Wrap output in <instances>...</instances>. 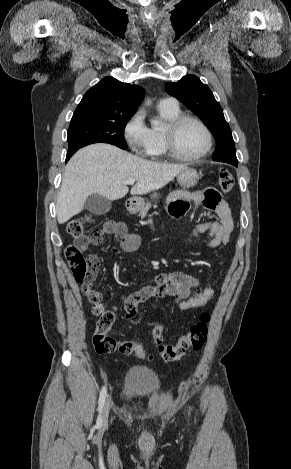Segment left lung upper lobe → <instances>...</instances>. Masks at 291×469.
<instances>
[{
    "label": "left lung upper lobe",
    "mask_w": 291,
    "mask_h": 469,
    "mask_svg": "<svg viewBox=\"0 0 291 469\" xmlns=\"http://www.w3.org/2000/svg\"><path fill=\"white\" fill-rule=\"evenodd\" d=\"M165 89L168 94L195 112L211 131L216 140V150L212 159L238 164L231 129L209 87L195 75H187L176 83L166 84Z\"/></svg>",
    "instance_id": "1"
}]
</instances>
